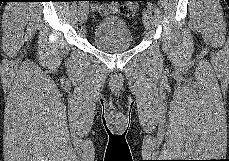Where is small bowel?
I'll return each mask as SVG.
<instances>
[{
    "mask_svg": "<svg viewBox=\"0 0 229 161\" xmlns=\"http://www.w3.org/2000/svg\"><path fill=\"white\" fill-rule=\"evenodd\" d=\"M118 10V7L115 3L110 4L103 12L104 13H114Z\"/></svg>",
    "mask_w": 229,
    "mask_h": 161,
    "instance_id": "obj_1",
    "label": "small bowel"
}]
</instances>
